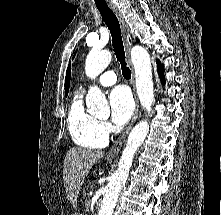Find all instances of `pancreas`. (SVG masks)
I'll return each instance as SVG.
<instances>
[{
  "label": "pancreas",
  "instance_id": "cf45deb5",
  "mask_svg": "<svg viewBox=\"0 0 221 215\" xmlns=\"http://www.w3.org/2000/svg\"><path fill=\"white\" fill-rule=\"evenodd\" d=\"M89 188H90V186H86V187L83 189V192H82L83 198H86V197H87V192H88ZM85 205H86V207L89 206V201H88V200H85Z\"/></svg>",
  "mask_w": 221,
  "mask_h": 215
}]
</instances>
